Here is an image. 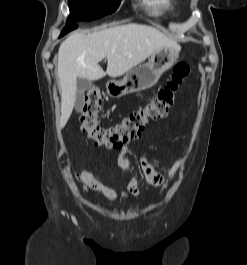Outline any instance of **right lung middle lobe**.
Masks as SVG:
<instances>
[{"label": "right lung middle lobe", "mask_w": 247, "mask_h": 265, "mask_svg": "<svg viewBox=\"0 0 247 265\" xmlns=\"http://www.w3.org/2000/svg\"><path fill=\"white\" fill-rule=\"evenodd\" d=\"M70 16L66 25L76 21L94 20L116 12L121 0H68Z\"/></svg>", "instance_id": "dd1d6c3e"}]
</instances>
